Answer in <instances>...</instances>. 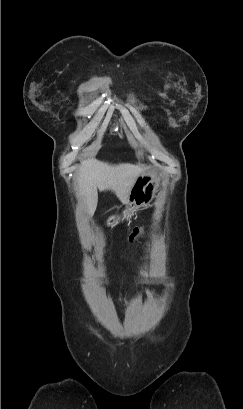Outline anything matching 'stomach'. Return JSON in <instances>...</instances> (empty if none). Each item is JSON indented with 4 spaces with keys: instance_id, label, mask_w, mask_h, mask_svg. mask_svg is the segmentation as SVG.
<instances>
[{
    "instance_id": "0dacf381",
    "label": "stomach",
    "mask_w": 243,
    "mask_h": 409,
    "mask_svg": "<svg viewBox=\"0 0 243 409\" xmlns=\"http://www.w3.org/2000/svg\"><path fill=\"white\" fill-rule=\"evenodd\" d=\"M160 186V179L155 171L148 169L139 174L130 190L122 220L128 219L135 209L149 206L160 190ZM120 220L121 216H110L107 224L114 227Z\"/></svg>"
}]
</instances>
